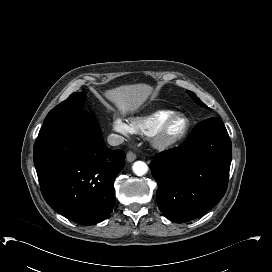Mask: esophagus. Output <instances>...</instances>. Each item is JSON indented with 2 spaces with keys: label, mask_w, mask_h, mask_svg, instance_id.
<instances>
[{
  "label": "esophagus",
  "mask_w": 272,
  "mask_h": 272,
  "mask_svg": "<svg viewBox=\"0 0 272 272\" xmlns=\"http://www.w3.org/2000/svg\"><path fill=\"white\" fill-rule=\"evenodd\" d=\"M126 159L128 162H132L136 159V154L132 151H128L126 154Z\"/></svg>",
  "instance_id": "obj_1"
}]
</instances>
